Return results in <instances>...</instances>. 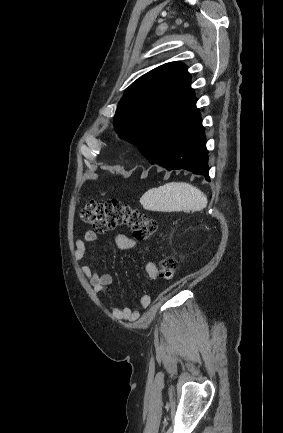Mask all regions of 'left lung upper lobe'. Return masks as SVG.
<instances>
[{
    "label": "left lung upper lobe",
    "instance_id": "1",
    "mask_svg": "<svg viewBox=\"0 0 283 433\" xmlns=\"http://www.w3.org/2000/svg\"><path fill=\"white\" fill-rule=\"evenodd\" d=\"M187 66L163 64L132 83L119 102L114 126L119 136L138 148L148 129L180 125L199 114Z\"/></svg>",
    "mask_w": 283,
    "mask_h": 433
}]
</instances>
